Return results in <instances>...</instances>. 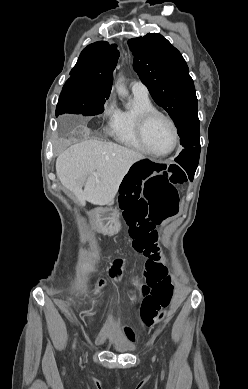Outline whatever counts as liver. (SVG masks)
<instances>
[{
  "label": "liver",
  "instance_id": "obj_1",
  "mask_svg": "<svg viewBox=\"0 0 248 389\" xmlns=\"http://www.w3.org/2000/svg\"><path fill=\"white\" fill-rule=\"evenodd\" d=\"M145 157L116 143L87 140L74 144L56 160V174L81 206L113 201L129 168ZM84 186V189H83Z\"/></svg>",
  "mask_w": 248,
  "mask_h": 389
}]
</instances>
